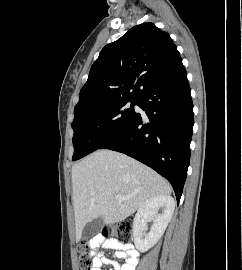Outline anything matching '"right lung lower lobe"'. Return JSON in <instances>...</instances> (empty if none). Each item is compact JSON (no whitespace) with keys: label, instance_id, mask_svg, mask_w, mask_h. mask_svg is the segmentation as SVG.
<instances>
[{"label":"right lung lower lobe","instance_id":"1","mask_svg":"<svg viewBox=\"0 0 242 270\" xmlns=\"http://www.w3.org/2000/svg\"><path fill=\"white\" fill-rule=\"evenodd\" d=\"M122 129L99 149L118 151L146 164L172 185L180 201L190 161L193 103L183 64L150 85Z\"/></svg>","mask_w":242,"mask_h":270}]
</instances>
